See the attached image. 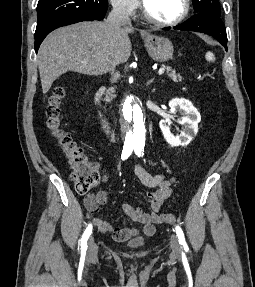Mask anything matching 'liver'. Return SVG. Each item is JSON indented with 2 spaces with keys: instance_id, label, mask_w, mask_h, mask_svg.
<instances>
[{
  "instance_id": "1",
  "label": "liver",
  "mask_w": 255,
  "mask_h": 287,
  "mask_svg": "<svg viewBox=\"0 0 255 287\" xmlns=\"http://www.w3.org/2000/svg\"><path fill=\"white\" fill-rule=\"evenodd\" d=\"M136 28H113L106 22H80L47 36L38 54L43 94L65 72L102 76L112 66L127 62L132 44L128 34Z\"/></svg>"
}]
</instances>
